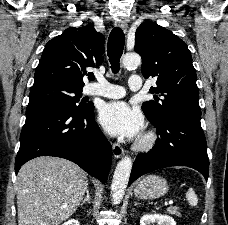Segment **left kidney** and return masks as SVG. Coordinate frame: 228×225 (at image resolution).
<instances>
[{
    "instance_id": "5707ae66",
    "label": "left kidney",
    "mask_w": 228,
    "mask_h": 225,
    "mask_svg": "<svg viewBox=\"0 0 228 225\" xmlns=\"http://www.w3.org/2000/svg\"><path fill=\"white\" fill-rule=\"evenodd\" d=\"M151 223H157V225H176L174 219L169 215H143L140 219V225H151Z\"/></svg>"
}]
</instances>
